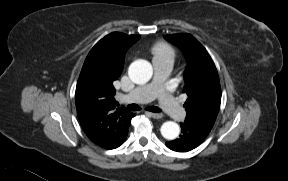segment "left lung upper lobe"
<instances>
[{"mask_svg": "<svg viewBox=\"0 0 288 181\" xmlns=\"http://www.w3.org/2000/svg\"><path fill=\"white\" fill-rule=\"evenodd\" d=\"M164 38L183 50L188 61L185 86L188 99L185 121L213 127L221 103V87L215 64L206 49L190 34L166 35Z\"/></svg>", "mask_w": 288, "mask_h": 181, "instance_id": "5c2ea615", "label": "left lung upper lobe"}]
</instances>
